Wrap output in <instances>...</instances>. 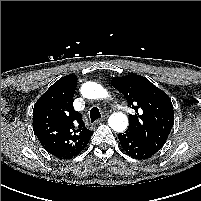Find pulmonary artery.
Here are the masks:
<instances>
[{
    "mask_svg": "<svg viewBox=\"0 0 201 201\" xmlns=\"http://www.w3.org/2000/svg\"><path fill=\"white\" fill-rule=\"evenodd\" d=\"M114 107L116 108V110L121 111V112H129L130 111L127 106H125L119 102H115Z\"/></svg>",
    "mask_w": 201,
    "mask_h": 201,
    "instance_id": "1",
    "label": "pulmonary artery"
}]
</instances>
